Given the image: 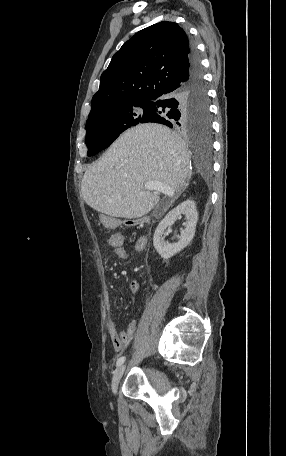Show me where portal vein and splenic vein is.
Segmentation results:
<instances>
[{
  "label": "portal vein and splenic vein",
  "mask_w": 286,
  "mask_h": 456,
  "mask_svg": "<svg viewBox=\"0 0 286 456\" xmlns=\"http://www.w3.org/2000/svg\"><path fill=\"white\" fill-rule=\"evenodd\" d=\"M144 188L148 191H158L164 193L169 197H172L174 194V189L172 187L158 181L147 182L145 183Z\"/></svg>",
  "instance_id": "1"
}]
</instances>
